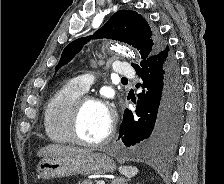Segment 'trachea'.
<instances>
[{
    "instance_id": "obj_1",
    "label": "trachea",
    "mask_w": 224,
    "mask_h": 184,
    "mask_svg": "<svg viewBox=\"0 0 224 184\" xmlns=\"http://www.w3.org/2000/svg\"><path fill=\"white\" fill-rule=\"evenodd\" d=\"M121 80H122V81H128V79H127V78H122Z\"/></svg>"
}]
</instances>
